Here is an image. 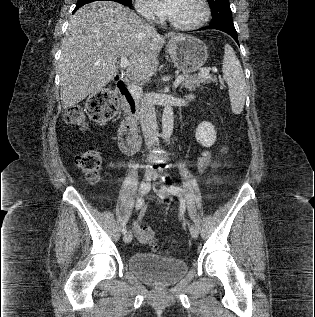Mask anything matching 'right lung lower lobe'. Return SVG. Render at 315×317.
Listing matches in <instances>:
<instances>
[{
    "label": "right lung lower lobe",
    "instance_id": "1",
    "mask_svg": "<svg viewBox=\"0 0 315 317\" xmlns=\"http://www.w3.org/2000/svg\"><path fill=\"white\" fill-rule=\"evenodd\" d=\"M81 6H83V5H76V8L74 9L73 12L77 11Z\"/></svg>",
    "mask_w": 315,
    "mask_h": 317
}]
</instances>
